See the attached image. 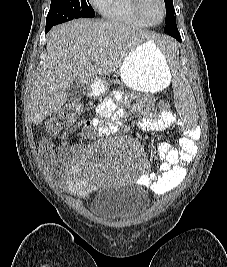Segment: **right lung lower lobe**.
<instances>
[{"mask_svg":"<svg viewBox=\"0 0 227 267\" xmlns=\"http://www.w3.org/2000/svg\"><path fill=\"white\" fill-rule=\"evenodd\" d=\"M53 25H46V29H45V32H48L51 28H52Z\"/></svg>","mask_w":227,"mask_h":267,"instance_id":"1","label":"right lung lower lobe"}]
</instances>
